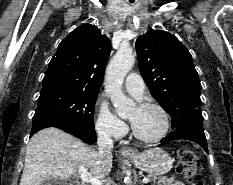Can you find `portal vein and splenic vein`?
Segmentation results:
<instances>
[{"instance_id": "1", "label": "portal vein and splenic vein", "mask_w": 233, "mask_h": 185, "mask_svg": "<svg viewBox=\"0 0 233 185\" xmlns=\"http://www.w3.org/2000/svg\"><path fill=\"white\" fill-rule=\"evenodd\" d=\"M78 173L80 175V178L82 181L87 182L91 185H102V181H100L99 179L93 177L88 171L87 169L80 167L78 169ZM150 182L149 178H144L142 180V183L147 184Z\"/></svg>"}]
</instances>
